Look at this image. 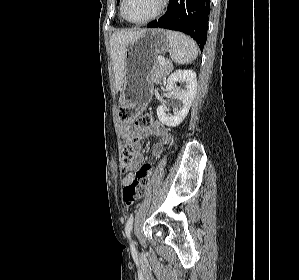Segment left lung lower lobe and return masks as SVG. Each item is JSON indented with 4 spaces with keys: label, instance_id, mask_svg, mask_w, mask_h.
Wrapping results in <instances>:
<instances>
[{
    "label": "left lung lower lobe",
    "instance_id": "obj_1",
    "mask_svg": "<svg viewBox=\"0 0 299 280\" xmlns=\"http://www.w3.org/2000/svg\"><path fill=\"white\" fill-rule=\"evenodd\" d=\"M210 0H170L168 11L148 28L181 31L196 40L202 50L207 39Z\"/></svg>",
    "mask_w": 299,
    "mask_h": 280
}]
</instances>
